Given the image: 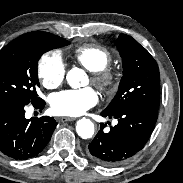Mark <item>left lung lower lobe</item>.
Returning <instances> with one entry per match:
<instances>
[{
    "instance_id": "0a47b994",
    "label": "left lung lower lobe",
    "mask_w": 183,
    "mask_h": 183,
    "mask_svg": "<svg viewBox=\"0 0 183 183\" xmlns=\"http://www.w3.org/2000/svg\"><path fill=\"white\" fill-rule=\"evenodd\" d=\"M118 124L103 132L104 125L88 147L89 157L102 166H114L134 156L145 146L158 118V110L134 106L116 113L101 112Z\"/></svg>"
}]
</instances>
